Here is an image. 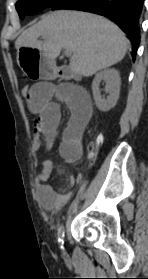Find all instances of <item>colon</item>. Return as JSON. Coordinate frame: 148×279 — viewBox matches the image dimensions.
<instances>
[{
	"label": "colon",
	"mask_w": 148,
	"mask_h": 279,
	"mask_svg": "<svg viewBox=\"0 0 148 279\" xmlns=\"http://www.w3.org/2000/svg\"><path fill=\"white\" fill-rule=\"evenodd\" d=\"M30 89L31 87L29 85H23L21 87V94L25 97L28 98L30 94ZM102 142V138L98 137L95 144L91 147L90 149V157H93L95 155V151L97 146Z\"/></svg>",
	"instance_id": "obj_1"
}]
</instances>
